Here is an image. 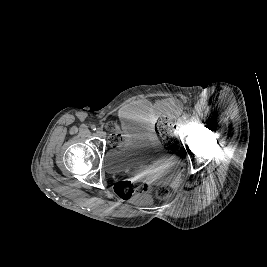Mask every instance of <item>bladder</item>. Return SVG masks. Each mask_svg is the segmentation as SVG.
I'll list each match as a JSON object with an SVG mask.
<instances>
[{"label": "bladder", "instance_id": "1", "mask_svg": "<svg viewBox=\"0 0 267 267\" xmlns=\"http://www.w3.org/2000/svg\"><path fill=\"white\" fill-rule=\"evenodd\" d=\"M157 141L148 137H127L105 155V168L110 173L137 170L157 158Z\"/></svg>", "mask_w": 267, "mask_h": 267}]
</instances>
